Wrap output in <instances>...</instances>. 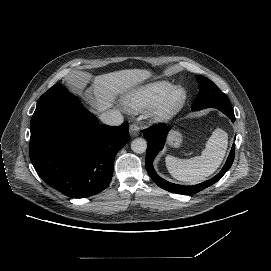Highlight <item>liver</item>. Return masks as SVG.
Wrapping results in <instances>:
<instances>
[{"label": "liver", "mask_w": 271, "mask_h": 271, "mask_svg": "<svg viewBox=\"0 0 271 271\" xmlns=\"http://www.w3.org/2000/svg\"><path fill=\"white\" fill-rule=\"evenodd\" d=\"M145 77L147 72L142 70H125L97 77L95 90L100 109L106 110L110 107L113 92Z\"/></svg>", "instance_id": "1"}]
</instances>
